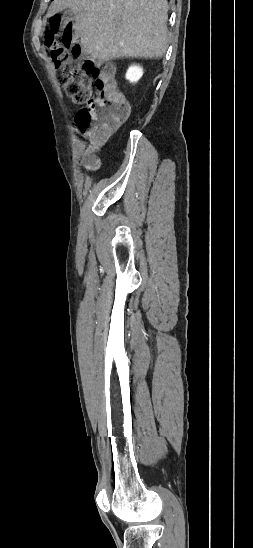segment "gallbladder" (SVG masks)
<instances>
[{"label":"gallbladder","mask_w":253,"mask_h":548,"mask_svg":"<svg viewBox=\"0 0 253 548\" xmlns=\"http://www.w3.org/2000/svg\"><path fill=\"white\" fill-rule=\"evenodd\" d=\"M63 18L65 20H73L75 18L74 13L71 9H68L64 12Z\"/></svg>","instance_id":"gallbladder-1"}]
</instances>
